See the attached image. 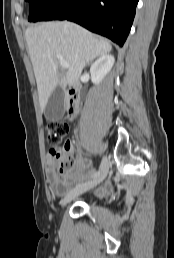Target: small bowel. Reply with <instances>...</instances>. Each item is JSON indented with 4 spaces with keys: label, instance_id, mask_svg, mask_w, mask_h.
Returning a JSON list of instances; mask_svg holds the SVG:
<instances>
[{
    "label": "small bowel",
    "instance_id": "1",
    "mask_svg": "<svg viewBox=\"0 0 174 258\" xmlns=\"http://www.w3.org/2000/svg\"><path fill=\"white\" fill-rule=\"evenodd\" d=\"M70 146V144H69ZM91 173V169L86 160L82 157H78L75 162V170L73 174L60 178L55 170V164L52 160L48 162L47 177L48 183L52 192L56 196L65 194L71 183L83 179L85 176Z\"/></svg>",
    "mask_w": 174,
    "mask_h": 258
}]
</instances>
